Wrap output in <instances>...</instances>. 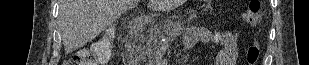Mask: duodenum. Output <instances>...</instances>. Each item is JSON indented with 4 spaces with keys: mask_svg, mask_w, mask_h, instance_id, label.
<instances>
[{
    "mask_svg": "<svg viewBox=\"0 0 309 65\" xmlns=\"http://www.w3.org/2000/svg\"><path fill=\"white\" fill-rule=\"evenodd\" d=\"M150 22H151V19L147 16H143V17H139V18L134 19L128 27V31H127L128 37L136 36Z\"/></svg>",
    "mask_w": 309,
    "mask_h": 65,
    "instance_id": "410a0bca",
    "label": "duodenum"
}]
</instances>
